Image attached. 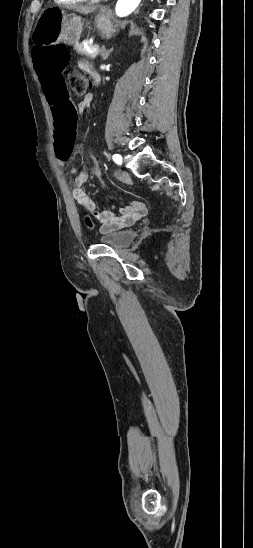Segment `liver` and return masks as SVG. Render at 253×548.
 I'll list each match as a JSON object with an SVG mask.
<instances>
[{
  "label": "liver",
  "mask_w": 253,
  "mask_h": 548,
  "mask_svg": "<svg viewBox=\"0 0 253 548\" xmlns=\"http://www.w3.org/2000/svg\"><path fill=\"white\" fill-rule=\"evenodd\" d=\"M74 10L79 12V13L87 15L89 13H92L95 10V8L94 7L82 6V7H74Z\"/></svg>",
  "instance_id": "liver-1"
}]
</instances>
